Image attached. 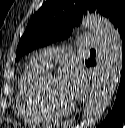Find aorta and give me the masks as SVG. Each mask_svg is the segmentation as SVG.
<instances>
[{"label": "aorta", "instance_id": "1", "mask_svg": "<svg viewBox=\"0 0 125 128\" xmlns=\"http://www.w3.org/2000/svg\"><path fill=\"white\" fill-rule=\"evenodd\" d=\"M86 24L98 38L96 77L88 95L79 128H92L115 93L121 70L122 44L118 31L105 17L88 14Z\"/></svg>", "mask_w": 125, "mask_h": 128}]
</instances>
